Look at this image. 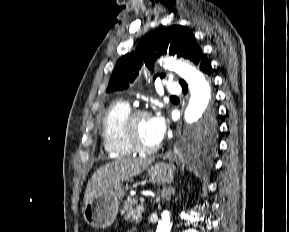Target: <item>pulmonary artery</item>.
Returning a JSON list of instances; mask_svg holds the SVG:
<instances>
[{"instance_id": "1", "label": "pulmonary artery", "mask_w": 289, "mask_h": 232, "mask_svg": "<svg viewBox=\"0 0 289 232\" xmlns=\"http://www.w3.org/2000/svg\"><path fill=\"white\" fill-rule=\"evenodd\" d=\"M166 89L170 94H180L181 93V86L178 82L169 80L166 85Z\"/></svg>"}]
</instances>
